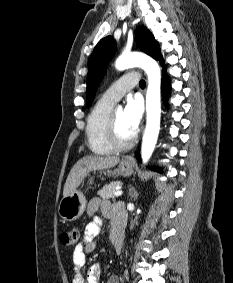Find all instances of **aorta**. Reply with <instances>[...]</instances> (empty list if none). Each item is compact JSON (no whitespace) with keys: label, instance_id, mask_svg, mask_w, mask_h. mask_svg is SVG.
I'll list each match as a JSON object with an SVG mask.
<instances>
[{"label":"aorta","instance_id":"1","mask_svg":"<svg viewBox=\"0 0 233 283\" xmlns=\"http://www.w3.org/2000/svg\"><path fill=\"white\" fill-rule=\"evenodd\" d=\"M119 71L128 68L140 67L148 77V88L146 93V128L144 131L141 157L142 163H148L157 143L160 130L161 117V70L158 63L143 53H124L115 62Z\"/></svg>","mask_w":233,"mask_h":283}]
</instances>
